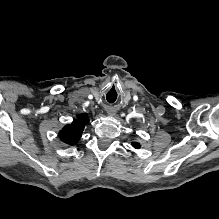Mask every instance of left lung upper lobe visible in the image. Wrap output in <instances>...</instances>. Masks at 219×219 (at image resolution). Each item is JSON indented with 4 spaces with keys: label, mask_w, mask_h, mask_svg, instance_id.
<instances>
[{
    "label": "left lung upper lobe",
    "mask_w": 219,
    "mask_h": 219,
    "mask_svg": "<svg viewBox=\"0 0 219 219\" xmlns=\"http://www.w3.org/2000/svg\"><path fill=\"white\" fill-rule=\"evenodd\" d=\"M132 146H133L134 148H136V149H139V148H140V144L137 143V142H134V143L132 144Z\"/></svg>",
    "instance_id": "1"
}]
</instances>
